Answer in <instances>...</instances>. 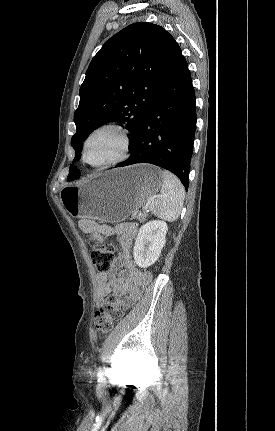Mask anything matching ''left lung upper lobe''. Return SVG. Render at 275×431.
<instances>
[{
	"label": "left lung upper lobe",
	"instance_id": "5c2ea615",
	"mask_svg": "<svg viewBox=\"0 0 275 431\" xmlns=\"http://www.w3.org/2000/svg\"><path fill=\"white\" fill-rule=\"evenodd\" d=\"M181 49L163 27L131 24L111 37L92 59L74 114L76 133L71 145L80 159L82 142L107 122L126 124L129 148L157 95L170 75ZM80 173L70 166L68 178Z\"/></svg>",
	"mask_w": 275,
	"mask_h": 431
}]
</instances>
